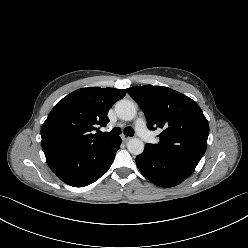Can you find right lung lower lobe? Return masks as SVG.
Segmentation results:
<instances>
[{
	"label": "right lung lower lobe",
	"instance_id": "obj_1",
	"mask_svg": "<svg viewBox=\"0 0 248 248\" xmlns=\"http://www.w3.org/2000/svg\"><path fill=\"white\" fill-rule=\"evenodd\" d=\"M120 137L99 147L79 152H50L45 157L50 169L63 182L74 187L87 186L98 180L110 168Z\"/></svg>",
	"mask_w": 248,
	"mask_h": 248
}]
</instances>
